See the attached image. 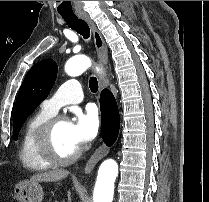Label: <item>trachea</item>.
<instances>
[{"mask_svg":"<svg viewBox=\"0 0 209 202\" xmlns=\"http://www.w3.org/2000/svg\"><path fill=\"white\" fill-rule=\"evenodd\" d=\"M68 27L75 30L84 39H88L90 37V28L88 24L83 20L78 18L76 15H61ZM89 88L91 92L96 93L98 91V81L97 78L92 76L89 79Z\"/></svg>","mask_w":209,"mask_h":202,"instance_id":"3493384b","label":"trachea"}]
</instances>
